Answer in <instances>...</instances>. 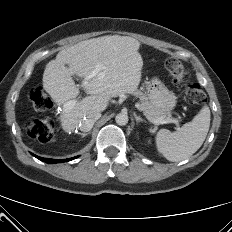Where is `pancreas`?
Wrapping results in <instances>:
<instances>
[{
    "instance_id": "obj_1",
    "label": "pancreas",
    "mask_w": 232,
    "mask_h": 232,
    "mask_svg": "<svg viewBox=\"0 0 232 232\" xmlns=\"http://www.w3.org/2000/svg\"><path fill=\"white\" fill-rule=\"evenodd\" d=\"M134 96L140 99L138 109L143 111V113L153 119H157L163 116L161 113L148 99V97L141 91H135Z\"/></svg>"
}]
</instances>
